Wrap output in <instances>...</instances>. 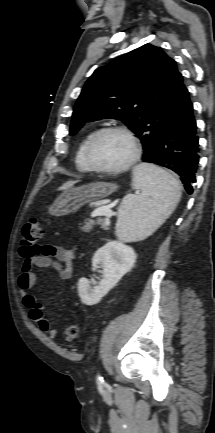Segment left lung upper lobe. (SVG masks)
<instances>
[{
  "label": "left lung upper lobe",
  "instance_id": "left-lung-upper-lobe-1",
  "mask_svg": "<svg viewBox=\"0 0 215 433\" xmlns=\"http://www.w3.org/2000/svg\"><path fill=\"white\" fill-rule=\"evenodd\" d=\"M182 86L175 61L146 44L95 70L74 107L70 135L86 122L119 119L140 139L143 160L150 159Z\"/></svg>",
  "mask_w": 215,
  "mask_h": 433
}]
</instances>
